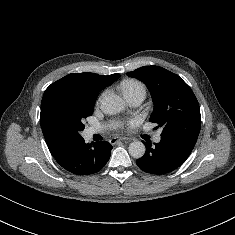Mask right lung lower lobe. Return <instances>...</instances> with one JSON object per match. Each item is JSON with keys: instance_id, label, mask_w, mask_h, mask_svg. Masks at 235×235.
<instances>
[{"instance_id": "obj_1", "label": "right lung lower lobe", "mask_w": 235, "mask_h": 235, "mask_svg": "<svg viewBox=\"0 0 235 235\" xmlns=\"http://www.w3.org/2000/svg\"><path fill=\"white\" fill-rule=\"evenodd\" d=\"M112 145L106 141L86 144L80 137L53 157L58 164L77 175H89L101 170L110 158Z\"/></svg>"}]
</instances>
